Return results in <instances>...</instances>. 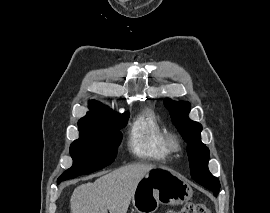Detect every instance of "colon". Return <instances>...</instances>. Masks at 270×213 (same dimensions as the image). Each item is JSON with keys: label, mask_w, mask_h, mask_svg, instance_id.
<instances>
[{"label": "colon", "mask_w": 270, "mask_h": 213, "mask_svg": "<svg viewBox=\"0 0 270 213\" xmlns=\"http://www.w3.org/2000/svg\"><path fill=\"white\" fill-rule=\"evenodd\" d=\"M166 213H211L208 206L203 203H187L178 211H167Z\"/></svg>", "instance_id": "obj_1"}]
</instances>
